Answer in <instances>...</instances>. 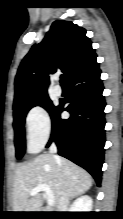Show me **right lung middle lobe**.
<instances>
[{"label":"right lung middle lobe","instance_id":"obj_1","mask_svg":"<svg viewBox=\"0 0 123 219\" xmlns=\"http://www.w3.org/2000/svg\"><path fill=\"white\" fill-rule=\"evenodd\" d=\"M37 105L44 107L50 113V116L53 115V113L57 108V106H54L52 104V101L49 99L47 94L36 97L18 106L13 107V116H14L13 127L15 131L14 142H15L17 159H21L25 153L26 145H25L24 123H25L26 114L32 107Z\"/></svg>","mask_w":123,"mask_h":219}]
</instances>
